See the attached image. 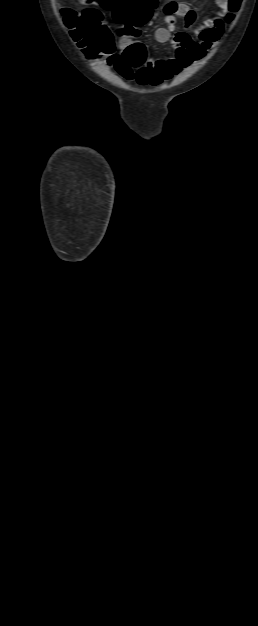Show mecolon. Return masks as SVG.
Segmentation results:
<instances>
[{"label": "colon", "mask_w": 258, "mask_h": 626, "mask_svg": "<svg viewBox=\"0 0 258 626\" xmlns=\"http://www.w3.org/2000/svg\"><path fill=\"white\" fill-rule=\"evenodd\" d=\"M89 5L81 12L69 8L63 10L64 20L73 39L89 56H108L114 53V38L103 22L100 9L113 10L116 20L127 28L131 35H137V28L150 18L158 0H81ZM241 0H228L227 20L239 8ZM125 59L132 66H141L146 61V52L141 44L129 45L124 51Z\"/></svg>", "instance_id": "obj_1"}]
</instances>
